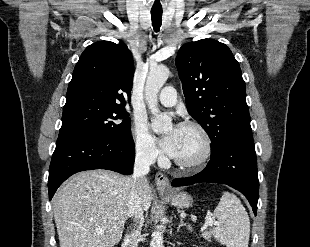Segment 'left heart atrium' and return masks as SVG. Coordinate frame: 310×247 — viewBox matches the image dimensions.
<instances>
[{"mask_svg":"<svg viewBox=\"0 0 310 247\" xmlns=\"http://www.w3.org/2000/svg\"><path fill=\"white\" fill-rule=\"evenodd\" d=\"M177 136L178 127H174L161 139L164 152L171 157H174L176 153Z\"/></svg>","mask_w":310,"mask_h":247,"instance_id":"39dd6f15","label":"left heart atrium"}]
</instances>
